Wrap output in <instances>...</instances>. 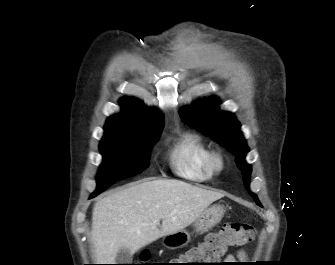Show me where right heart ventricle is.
<instances>
[{
	"instance_id": "obj_1",
	"label": "right heart ventricle",
	"mask_w": 335,
	"mask_h": 265,
	"mask_svg": "<svg viewBox=\"0 0 335 265\" xmlns=\"http://www.w3.org/2000/svg\"><path fill=\"white\" fill-rule=\"evenodd\" d=\"M211 153L200 135L185 132L170 148V164L179 177L192 182H206L215 175L209 163Z\"/></svg>"
}]
</instances>
